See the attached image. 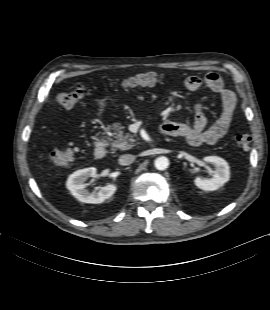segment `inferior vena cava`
<instances>
[{
    "label": "inferior vena cava",
    "instance_id": "inferior-vena-cava-1",
    "mask_svg": "<svg viewBox=\"0 0 270 310\" xmlns=\"http://www.w3.org/2000/svg\"><path fill=\"white\" fill-rule=\"evenodd\" d=\"M135 160V156L132 155V154H124V155H121L119 157V164L120 165H123V166H126V165H130L134 162Z\"/></svg>",
    "mask_w": 270,
    "mask_h": 310
}]
</instances>
